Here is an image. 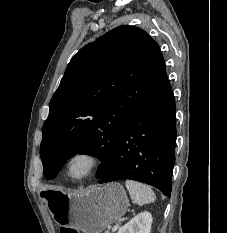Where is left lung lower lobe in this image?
<instances>
[{
  "label": "left lung lower lobe",
  "instance_id": "0a47b994",
  "mask_svg": "<svg viewBox=\"0 0 227 233\" xmlns=\"http://www.w3.org/2000/svg\"><path fill=\"white\" fill-rule=\"evenodd\" d=\"M175 145L176 106L167 80L123 129L99 183L136 180L170 197Z\"/></svg>",
  "mask_w": 227,
  "mask_h": 233
}]
</instances>
